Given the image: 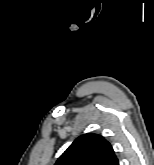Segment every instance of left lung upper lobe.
I'll return each mask as SVG.
<instances>
[{
	"label": "left lung upper lobe",
	"mask_w": 154,
	"mask_h": 165,
	"mask_svg": "<svg viewBox=\"0 0 154 165\" xmlns=\"http://www.w3.org/2000/svg\"><path fill=\"white\" fill-rule=\"evenodd\" d=\"M55 165H119L112 146L100 135L78 137Z\"/></svg>",
	"instance_id": "left-lung-upper-lobe-1"
}]
</instances>
